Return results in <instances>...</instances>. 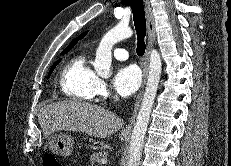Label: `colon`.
<instances>
[{
	"instance_id": "1",
	"label": "colon",
	"mask_w": 231,
	"mask_h": 166,
	"mask_svg": "<svg viewBox=\"0 0 231 166\" xmlns=\"http://www.w3.org/2000/svg\"><path fill=\"white\" fill-rule=\"evenodd\" d=\"M43 166H63V165L54 155L47 154L43 157Z\"/></svg>"
}]
</instances>
